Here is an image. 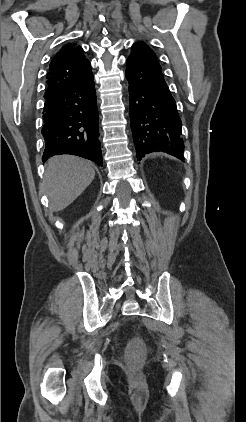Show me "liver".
<instances>
[{"label": "liver", "instance_id": "1", "mask_svg": "<svg viewBox=\"0 0 246 422\" xmlns=\"http://www.w3.org/2000/svg\"><path fill=\"white\" fill-rule=\"evenodd\" d=\"M95 171L91 162L72 155L54 156L47 161L42 189L50 200V210L69 206L91 184Z\"/></svg>", "mask_w": 246, "mask_h": 422}]
</instances>
